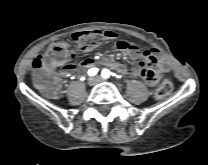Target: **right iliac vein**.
Returning a JSON list of instances; mask_svg holds the SVG:
<instances>
[{
	"mask_svg": "<svg viewBox=\"0 0 208 165\" xmlns=\"http://www.w3.org/2000/svg\"><path fill=\"white\" fill-rule=\"evenodd\" d=\"M88 85L94 86L97 83V80L95 78L90 77L87 81Z\"/></svg>",
	"mask_w": 208,
	"mask_h": 165,
	"instance_id": "obj_1",
	"label": "right iliac vein"
}]
</instances>
